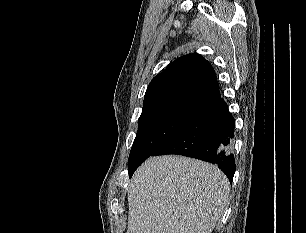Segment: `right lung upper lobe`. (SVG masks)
I'll return each instance as SVG.
<instances>
[{"mask_svg": "<svg viewBox=\"0 0 306 233\" xmlns=\"http://www.w3.org/2000/svg\"><path fill=\"white\" fill-rule=\"evenodd\" d=\"M221 98L215 72L199 54H188L172 62L155 76L145 93L143 106L182 100L207 107Z\"/></svg>", "mask_w": 306, "mask_h": 233, "instance_id": "cb5924a9", "label": "right lung upper lobe"}]
</instances>
